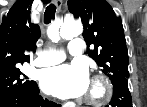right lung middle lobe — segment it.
Here are the masks:
<instances>
[{
  "label": "right lung middle lobe",
  "instance_id": "obj_1",
  "mask_svg": "<svg viewBox=\"0 0 147 107\" xmlns=\"http://www.w3.org/2000/svg\"><path fill=\"white\" fill-rule=\"evenodd\" d=\"M37 83L28 80L18 66L0 71V102L17 94L34 91Z\"/></svg>",
  "mask_w": 147,
  "mask_h": 107
}]
</instances>
